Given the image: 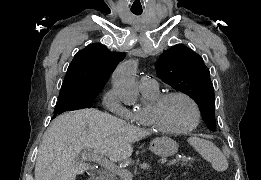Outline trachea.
Here are the masks:
<instances>
[{
    "mask_svg": "<svg viewBox=\"0 0 261 180\" xmlns=\"http://www.w3.org/2000/svg\"><path fill=\"white\" fill-rule=\"evenodd\" d=\"M132 13H134V15H141L142 10H140V11H132Z\"/></svg>",
    "mask_w": 261,
    "mask_h": 180,
    "instance_id": "3493384b",
    "label": "trachea"
}]
</instances>
